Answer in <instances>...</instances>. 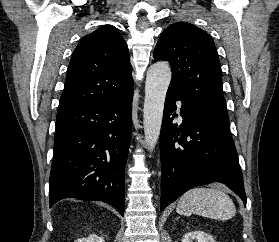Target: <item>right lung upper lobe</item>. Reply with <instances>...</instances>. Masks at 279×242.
<instances>
[{
    "instance_id": "right-lung-upper-lobe-1",
    "label": "right lung upper lobe",
    "mask_w": 279,
    "mask_h": 242,
    "mask_svg": "<svg viewBox=\"0 0 279 242\" xmlns=\"http://www.w3.org/2000/svg\"><path fill=\"white\" fill-rule=\"evenodd\" d=\"M128 47L114 26L104 25L82 38L69 63L58 112L97 104L133 89Z\"/></svg>"
}]
</instances>
